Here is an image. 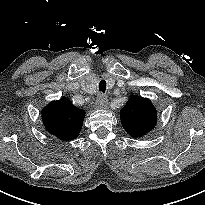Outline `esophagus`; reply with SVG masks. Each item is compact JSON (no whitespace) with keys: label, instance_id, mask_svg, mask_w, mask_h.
I'll use <instances>...</instances> for the list:
<instances>
[{"label":"esophagus","instance_id":"obj_1","mask_svg":"<svg viewBox=\"0 0 205 205\" xmlns=\"http://www.w3.org/2000/svg\"><path fill=\"white\" fill-rule=\"evenodd\" d=\"M108 100L107 97L103 94H99L95 101V106L98 109H105L107 107Z\"/></svg>","mask_w":205,"mask_h":205}]
</instances>
